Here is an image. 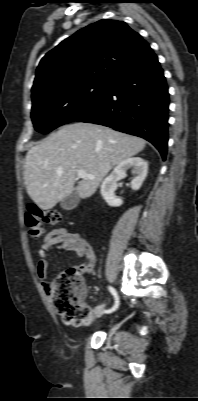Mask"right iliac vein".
Masks as SVG:
<instances>
[{
	"instance_id": "63e3f726",
	"label": "right iliac vein",
	"mask_w": 198,
	"mask_h": 401,
	"mask_svg": "<svg viewBox=\"0 0 198 401\" xmlns=\"http://www.w3.org/2000/svg\"><path fill=\"white\" fill-rule=\"evenodd\" d=\"M102 308H103V306L99 307L96 310V312H95L96 317H100L102 315V313H103V311L101 310Z\"/></svg>"
}]
</instances>
